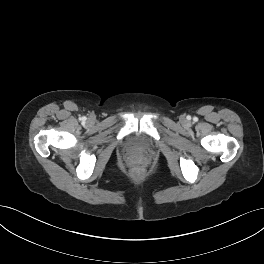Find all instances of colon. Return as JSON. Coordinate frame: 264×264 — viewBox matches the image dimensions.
<instances>
[{
  "instance_id": "obj_1",
  "label": "colon",
  "mask_w": 264,
  "mask_h": 264,
  "mask_svg": "<svg viewBox=\"0 0 264 264\" xmlns=\"http://www.w3.org/2000/svg\"><path fill=\"white\" fill-rule=\"evenodd\" d=\"M134 172H135V173H139V170H138V169H136Z\"/></svg>"
}]
</instances>
